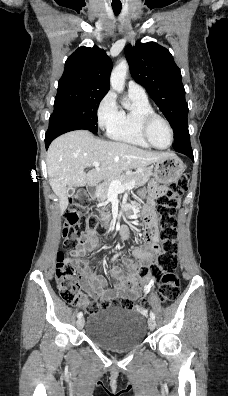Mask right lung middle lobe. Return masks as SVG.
I'll use <instances>...</instances> for the list:
<instances>
[{
  "label": "right lung middle lobe",
  "mask_w": 228,
  "mask_h": 396,
  "mask_svg": "<svg viewBox=\"0 0 228 396\" xmlns=\"http://www.w3.org/2000/svg\"><path fill=\"white\" fill-rule=\"evenodd\" d=\"M105 95L106 92L79 87L58 88L50 120H66L96 134L97 108Z\"/></svg>",
  "instance_id": "obj_1"
}]
</instances>
